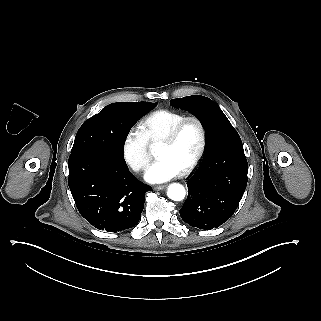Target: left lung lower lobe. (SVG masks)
Masks as SVG:
<instances>
[{"label": "left lung lower lobe", "instance_id": "left-lung-lower-lobe-1", "mask_svg": "<svg viewBox=\"0 0 321 321\" xmlns=\"http://www.w3.org/2000/svg\"><path fill=\"white\" fill-rule=\"evenodd\" d=\"M248 163L240 138L225 140L204 154L188 180V197L180 209L184 222L210 230L235 212L247 185Z\"/></svg>", "mask_w": 321, "mask_h": 321}]
</instances>
